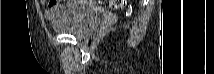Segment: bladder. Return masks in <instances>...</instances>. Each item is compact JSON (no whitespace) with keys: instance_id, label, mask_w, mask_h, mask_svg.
<instances>
[{"instance_id":"obj_1","label":"bladder","mask_w":214,"mask_h":74,"mask_svg":"<svg viewBox=\"0 0 214 74\" xmlns=\"http://www.w3.org/2000/svg\"><path fill=\"white\" fill-rule=\"evenodd\" d=\"M101 13L90 6H71L63 9L53 20V29L58 33L83 38L98 26Z\"/></svg>"}]
</instances>
